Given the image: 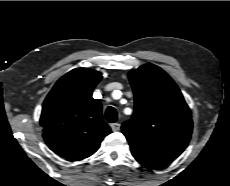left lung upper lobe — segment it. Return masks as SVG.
Wrapping results in <instances>:
<instances>
[{"mask_svg":"<svg viewBox=\"0 0 230 186\" xmlns=\"http://www.w3.org/2000/svg\"><path fill=\"white\" fill-rule=\"evenodd\" d=\"M135 109L122 124L133 156L170 163L187 147L191 112L180 89L161 68L145 64L129 72Z\"/></svg>","mask_w":230,"mask_h":186,"instance_id":"left-lung-upper-lobe-1","label":"left lung upper lobe"}]
</instances>
